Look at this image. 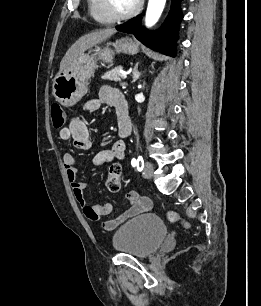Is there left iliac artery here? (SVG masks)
Instances as JSON below:
<instances>
[{
  "label": "left iliac artery",
  "mask_w": 261,
  "mask_h": 306,
  "mask_svg": "<svg viewBox=\"0 0 261 306\" xmlns=\"http://www.w3.org/2000/svg\"><path fill=\"white\" fill-rule=\"evenodd\" d=\"M131 164L133 167H137L138 171H142L144 167V160L142 156H139L137 160L135 158L132 159Z\"/></svg>",
  "instance_id": "1"
}]
</instances>
